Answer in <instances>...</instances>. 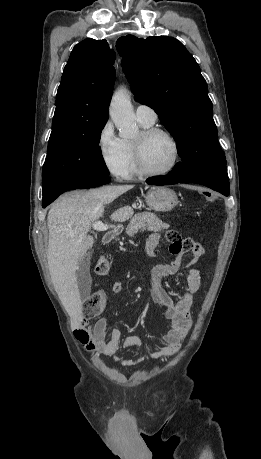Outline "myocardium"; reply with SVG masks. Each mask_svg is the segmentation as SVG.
<instances>
[{
  "instance_id": "f54148a6",
  "label": "myocardium",
  "mask_w": 261,
  "mask_h": 459,
  "mask_svg": "<svg viewBox=\"0 0 261 459\" xmlns=\"http://www.w3.org/2000/svg\"><path fill=\"white\" fill-rule=\"evenodd\" d=\"M156 134H162L166 136L171 141V144L173 147V158H172L170 165L167 168L163 170H159V171L148 169L143 159L144 141ZM133 153H134L136 169L139 174L144 175V176H150V177L162 176V175H166L170 173L176 167L179 161V155H180L179 143L176 137L167 129L151 126L148 128H144V130L140 133V140H135L133 142Z\"/></svg>"
}]
</instances>
